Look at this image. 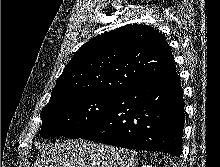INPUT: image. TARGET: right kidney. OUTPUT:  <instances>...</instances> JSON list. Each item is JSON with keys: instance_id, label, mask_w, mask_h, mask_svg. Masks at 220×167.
<instances>
[{"instance_id": "obj_1", "label": "right kidney", "mask_w": 220, "mask_h": 167, "mask_svg": "<svg viewBox=\"0 0 220 167\" xmlns=\"http://www.w3.org/2000/svg\"><path fill=\"white\" fill-rule=\"evenodd\" d=\"M142 167H151V166H149V165H143Z\"/></svg>"}]
</instances>
